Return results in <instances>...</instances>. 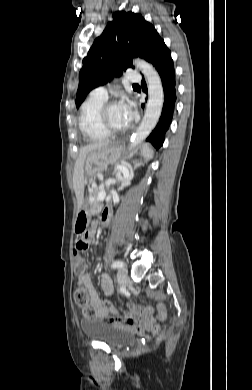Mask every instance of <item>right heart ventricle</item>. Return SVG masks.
<instances>
[{"mask_svg":"<svg viewBox=\"0 0 252 390\" xmlns=\"http://www.w3.org/2000/svg\"><path fill=\"white\" fill-rule=\"evenodd\" d=\"M106 99L90 95L81 105L79 116V128L84 137L90 142L105 141L110 138L99 123V110Z\"/></svg>","mask_w":252,"mask_h":390,"instance_id":"1","label":"right heart ventricle"}]
</instances>
